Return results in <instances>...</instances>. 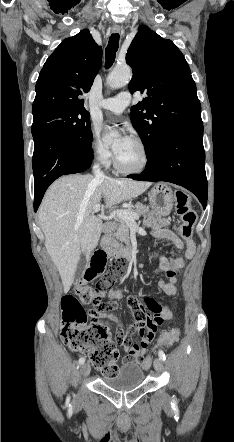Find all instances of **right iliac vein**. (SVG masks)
<instances>
[{
  "instance_id": "right-iliac-vein-1",
  "label": "right iliac vein",
  "mask_w": 234,
  "mask_h": 442,
  "mask_svg": "<svg viewBox=\"0 0 234 442\" xmlns=\"http://www.w3.org/2000/svg\"><path fill=\"white\" fill-rule=\"evenodd\" d=\"M90 371H91V368L88 363H85L81 366L80 372L83 377H87L90 374Z\"/></svg>"
}]
</instances>
